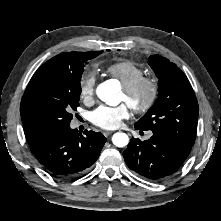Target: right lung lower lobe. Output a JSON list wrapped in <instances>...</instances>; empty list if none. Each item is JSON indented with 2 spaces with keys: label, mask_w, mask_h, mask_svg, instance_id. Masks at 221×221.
<instances>
[{
  "label": "right lung lower lobe",
  "mask_w": 221,
  "mask_h": 221,
  "mask_svg": "<svg viewBox=\"0 0 221 221\" xmlns=\"http://www.w3.org/2000/svg\"><path fill=\"white\" fill-rule=\"evenodd\" d=\"M106 138L99 132L61 126L30 146L42 168L58 179L80 176L95 163Z\"/></svg>",
  "instance_id": "obj_1"
}]
</instances>
